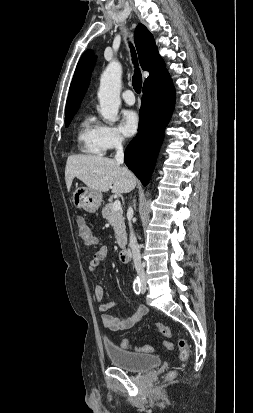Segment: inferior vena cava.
Here are the masks:
<instances>
[{"label":"inferior vena cava","instance_id":"602c4592","mask_svg":"<svg viewBox=\"0 0 253 413\" xmlns=\"http://www.w3.org/2000/svg\"><path fill=\"white\" fill-rule=\"evenodd\" d=\"M115 160L117 163L122 164L124 161V152H123V146H122V140L120 138L117 139L116 141V155H115ZM128 214L132 215L133 214V209L129 207L128 209ZM129 227H130V242H129V247L131 248L132 251V257H133V262H134V267L136 269V272L141 276H145V272L141 263V254H140V246L137 243L136 237L134 235L133 229H132V224L129 221Z\"/></svg>","mask_w":253,"mask_h":413}]
</instances>
